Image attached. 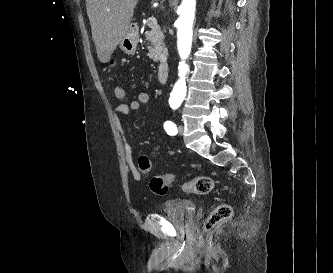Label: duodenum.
<instances>
[{"label": "duodenum", "mask_w": 333, "mask_h": 273, "mask_svg": "<svg viewBox=\"0 0 333 273\" xmlns=\"http://www.w3.org/2000/svg\"><path fill=\"white\" fill-rule=\"evenodd\" d=\"M169 75V63L167 60L163 59L160 61L158 69V81L160 84H165L168 80Z\"/></svg>", "instance_id": "410a0bca"}]
</instances>
